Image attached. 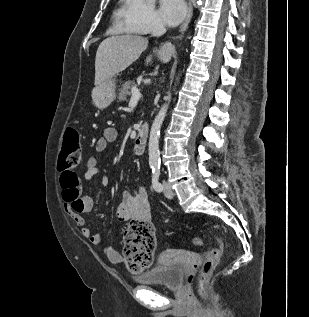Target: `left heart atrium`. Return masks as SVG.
Here are the masks:
<instances>
[{"instance_id": "39dd6f15", "label": "left heart atrium", "mask_w": 309, "mask_h": 317, "mask_svg": "<svg viewBox=\"0 0 309 317\" xmlns=\"http://www.w3.org/2000/svg\"><path fill=\"white\" fill-rule=\"evenodd\" d=\"M187 12L184 0H161L160 15L163 21L171 26L177 25L185 17Z\"/></svg>"}]
</instances>
